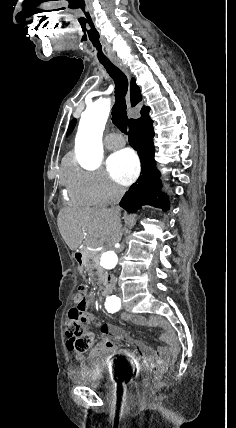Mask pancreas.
<instances>
[{
  "mask_svg": "<svg viewBox=\"0 0 236 428\" xmlns=\"http://www.w3.org/2000/svg\"><path fill=\"white\" fill-rule=\"evenodd\" d=\"M82 252H86L87 268H90V266H94L96 270H99V260L101 258V252H89V250H82Z\"/></svg>",
  "mask_w": 236,
  "mask_h": 428,
  "instance_id": "cf45deb5",
  "label": "pancreas"
}]
</instances>
